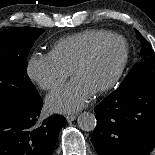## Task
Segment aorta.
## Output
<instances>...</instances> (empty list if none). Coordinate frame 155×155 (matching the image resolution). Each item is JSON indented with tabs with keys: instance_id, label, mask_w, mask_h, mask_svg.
Returning <instances> with one entry per match:
<instances>
[{
	"instance_id": "762f6f07",
	"label": "aorta",
	"mask_w": 155,
	"mask_h": 155,
	"mask_svg": "<svg viewBox=\"0 0 155 155\" xmlns=\"http://www.w3.org/2000/svg\"><path fill=\"white\" fill-rule=\"evenodd\" d=\"M78 126L84 131H93L97 125V120L94 114L83 112L77 118Z\"/></svg>"
}]
</instances>
